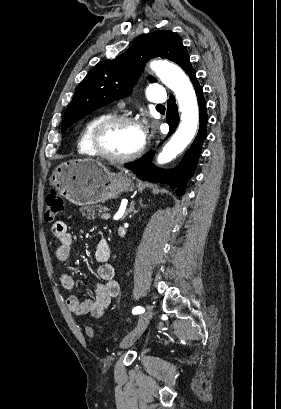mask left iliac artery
<instances>
[{
    "label": "left iliac artery",
    "mask_w": 281,
    "mask_h": 409,
    "mask_svg": "<svg viewBox=\"0 0 281 409\" xmlns=\"http://www.w3.org/2000/svg\"><path fill=\"white\" fill-rule=\"evenodd\" d=\"M144 311H145V310H144L143 307L137 306V307H135V308L133 309V314H140V313H143Z\"/></svg>",
    "instance_id": "left-iliac-artery-1"
}]
</instances>
